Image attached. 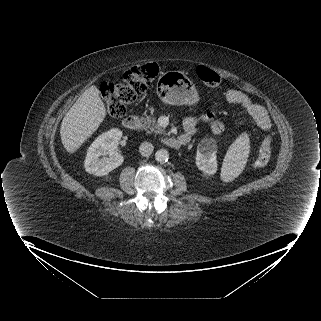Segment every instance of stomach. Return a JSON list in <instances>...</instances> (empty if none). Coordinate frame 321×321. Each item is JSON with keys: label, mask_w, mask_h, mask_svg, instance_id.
Returning a JSON list of instances; mask_svg holds the SVG:
<instances>
[{"label": "stomach", "mask_w": 321, "mask_h": 321, "mask_svg": "<svg viewBox=\"0 0 321 321\" xmlns=\"http://www.w3.org/2000/svg\"><path fill=\"white\" fill-rule=\"evenodd\" d=\"M156 92L159 99L170 105H195L199 102L198 92L181 71H167L157 82Z\"/></svg>", "instance_id": "obj_1"}]
</instances>
